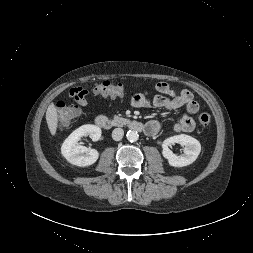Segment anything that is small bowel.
<instances>
[{
  "label": "small bowel",
  "mask_w": 253,
  "mask_h": 253,
  "mask_svg": "<svg viewBox=\"0 0 253 253\" xmlns=\"http://www.w3.org/2000/svg\"><path fill=\"white\" fill-rule=\"evenodd\" d=\"M155 90L158 93L152 98H149L146 92H137L131 98L132 105L137 108L156 107L167 110H176L185 107L186 113L181 119L175 122L172 126L175 132L190 133L195 129V122L191 115L199 111V104L193 98V94L187 90L182 89L176 93L172 87L166 82H159L155 85ZM69 96L79 106L87 105L88 91L83 88L72 89ZM146 133L149 135L155 134L159 130V123L157 121H149L146 124Z\"/></svg>",
  "instance_id": "small-bowel-1"
}]
</instances>
